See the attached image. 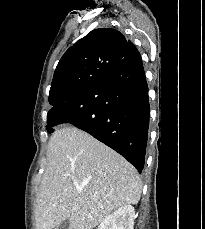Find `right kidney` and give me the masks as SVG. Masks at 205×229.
Here are the masks:
<instances>
[{
	"label": "right kidney",
	"mask_w": 205,
	"mask_h": 229,
	"mask_svg": "<svg viewBox=\"0 0 205 229\" xmlns=\"http://www.w3.org/2000/svg\"><path fill=\"white\" fill-rule=\"evenodd\" d=\"M134 218V207L124 205L107 216L97 229H133Z\"/></svg>",
	"instance_id": "ca27d5eb"
}]
</instances>
